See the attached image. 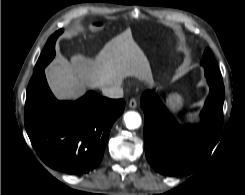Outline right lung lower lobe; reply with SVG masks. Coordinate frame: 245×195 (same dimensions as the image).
Wrapping results in <instances>:
<instances>
[{
	"label": "right lung lower lobe",
	"mask_w": 245,
	"mask_h": 195,
	"mask_svg": "<svg viewBox=\"0 0 245 195\" xmlns=\"http://www.w3.org/2000/svg\"><path fill=\"white\" fill-rule=\"evenodd\" d=\"M124 107L123 99L92 91L75 102L58 101L41 70L28 85L25 128L46 165L67 174H83L101 162L110 129Z\"/></svg>",
	"instance_id": "right-lung-lower-lobe-1"
}]
</instances>
